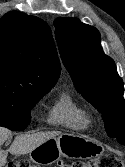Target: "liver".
Segmentation results:
<instances>
[{"label":"liver","mask_w":125,"mask_h":167,"mask_svg":"<svg viewBox=\"0 0 125 167\" xmlns=\"http://www.w3.org/2000/svg\"><path fill=\"white\" fill-rule=\"evenodd\" d=\"M59 131L37 132L32 134H21L15 137L8 150H2L1 145L11 135L7 128L0 127V167L6 164L8 152L13 155H24L30 153L34 148L47 141L61 135Z\"/></svg>","instance_id":"6515ba94"}]
</instances>
